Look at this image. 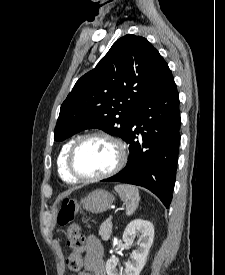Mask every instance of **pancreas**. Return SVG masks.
<instances>
[{
	"instance_id": "obj_1",
	"label": "pancreas",
	"mask_w": 225,
	"mask_h": 275,
	"mask_svg": "<svg viewBox=\"0 0 225 275\" xmlns=\"http://www.w3.org/2000/svg\"><path fill=\"white\" fill-rule=\"evenodd\" d=\"M112 222L106 220L103 222L99 229V235L101 236L102 240L107 241L109 240L111 233H112Z\"/></svg>"
}]
</instances>
